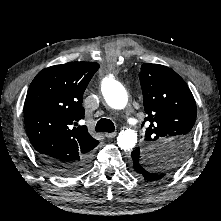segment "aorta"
Here are the masks:
<instances>
[{
	"label": "aorta",
	"mask_w": 221,
	"mask_h": 221,
	"mask_svg": "<svg viewBox=\"0 0 221 221\" xmlns=\"http://www.w3.org/2000/svg\"><path fill=\"white\" fill-rule=\"evenodd\" d=\"M102 94L106 103L113 109L121 110L125 108L128 97L125 88L121 83L113 78H107L101 86ZM137 143V133L135 130L127 129L119 133L117 144L122 150H132Z\"/></svg>",
	"instance_id": "obj_1"
}]
</instances>
